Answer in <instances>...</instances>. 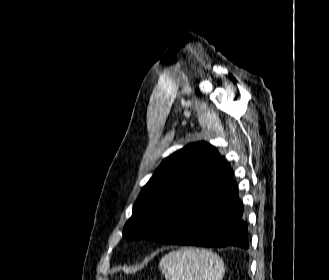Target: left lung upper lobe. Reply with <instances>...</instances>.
Returning a JSON list of instances; mask_svg holds the SVG:
<instances>
[{"label":"left lung upper lobe","instance_id":"left-lung-upper-lobe-1","mask_svg":"<svg viewBox=\"0 0 329 280\" xmlns=\"http://www.w3.org/2000/svg\"><path fill=\"white\" fill-rule=\"evenodd\" d=\"M229 167L210 144L188 145L166 158L139 194L123 236L159 242L163 227L178 221L186 207L209 188L218 187Z\"/></svg>","mask_w":329,"mask_h":280}]
</instances>
